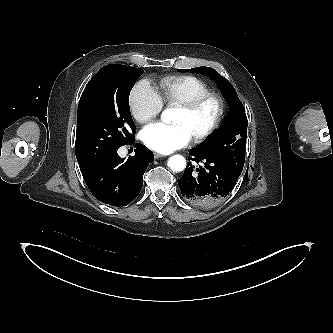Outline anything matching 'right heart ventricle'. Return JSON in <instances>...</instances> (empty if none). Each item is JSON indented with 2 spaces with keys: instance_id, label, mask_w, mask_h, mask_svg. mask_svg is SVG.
<instances>
[{
  "instance_id": "obj_1",
  "label": "right heart ventricle",
  "mask_w": 333,
  "mask_h": 333,
  "mask_svg": "<svg viewBox=\"0 0 333 333\" xmlns=\"http://www.w3.org/2000/svg\"><path fill=\"white\" fill-rule=\"evenodd\" d=\"M211 92L202 79L191 75L169 76L159 83V95L168 105L179 106L201 95Z\"/></svg>"
}]
</instances>
